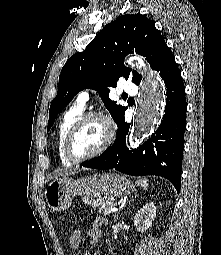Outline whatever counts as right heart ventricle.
<instances>
[{
	"label": "right heart ventricle",
	"instance_id": "1",
	"mask_svg": "<svg viewBox=\"0 0 221 255\" xmlns=\"http://www.w3.org/2000/svg\"><path fill=\"white\" fill-rule=\"evenodd\" d=\"M83 112H84V107L74 105L62 115L58 123L57 133H56V147H57L59 160L63 166H71L73 164L65 156L64 144H65V139L70 128L81 117Z\"/></svg>",
	"mask_w": 221,
	"mask_h": 255
}]
</instances>
